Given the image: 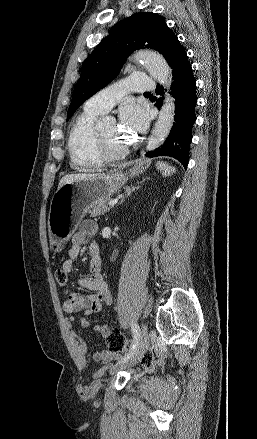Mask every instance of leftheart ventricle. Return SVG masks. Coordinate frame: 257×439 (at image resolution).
<instances>
[{
  "instance_id": "1",
  "label": "left heart ventricle",
  "mask_w": 257,
  "mask_h": 439,
  "mask_svg": "<svg viewBox=\"0 0 257 439\" xmlns=\"http://www.w3.org/2000/svg\"><path fill=\"white\" fill-rule=\"evenodd\" d=\"M101 133L105 137L108 145L112 149H118L126 145L125 141L121 138L117 125L112 124L101 130Z\"/></svg>"
}]
</instances>
